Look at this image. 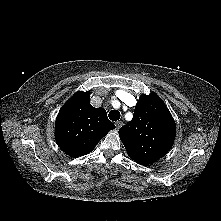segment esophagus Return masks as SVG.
I'll return each instance as SVG.
<instances>
[{
    "mask_svg": "<svg viewBox=\"0 0 221 221\" xmlns=\"http://www.w3.org/2000/svg\"><path fill=\"white\" fill-rule=\"evenodd\" d=\"M122 125H123V122H122V121H117V122L115 123V126H116V129H117V130H119Z\"/></svg>",
    "mask_w": 221,
    "mask_h": 221,
    "instance_id": "esophagus-1",
    "label": "esophagus"
}]
</instances>
